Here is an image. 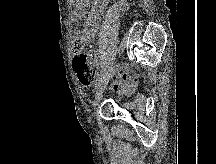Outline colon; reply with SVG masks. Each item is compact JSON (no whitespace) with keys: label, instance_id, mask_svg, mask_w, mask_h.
Instances as JSON below:
<instances>
[{"label":"colon","instance_id":"colon-1","mask_svg":"<svg viewBox=\"0 0 216 164\" xmlns=\"http://www.w3.org/2000/svg\"><path fill=\"white\" fill-rule=\"evenodd\" d=\"M126 1L121 0V9H126ZM94 26L92 21H86L83 35H76L72 40V51L76 55L74 58V67L77 75L85 86H91L96 83L98 72L94 56L92 53L84 52L85 36L87 32Z\"/></svg>","mask_w":216,"mask_h":164}]
</instances>
